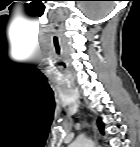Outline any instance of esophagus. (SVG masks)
<instances>
[{
	"label": "esophagus",
	"mask_w": 140,
	"mask_h": 147,
	"mask_svg": "<svg viewBox=\"0 0 140 147\" xmlns=\"http://www.w3.org/2000/svg\"><path fill=\"white\" fill-rule=\"evenodd\" d=\"M93 129H94V133H95V139L97 140V136H96L97 128H96V125H94V124H93Z\"/></svg>",
	"instance_id": "1"
}]
</instances>
